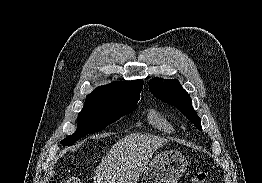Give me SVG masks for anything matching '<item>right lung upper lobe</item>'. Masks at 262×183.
I'll use <instances>...</instances> for the list:
<instances>
[{
	"instance_id": "right-lung-upper-lobe-1",
	"label": "right lung upper lobe",
	"mask_w": 262,
	"mask_h": 183,
	"mask_svg": "<svg viewBox=\"0 0 262 183\" xmlns=\"http://www.w3.org/2000/svg\"><path fill=\"white\" fill-rule=\"evenodd\" d=\"M143 88L142 80L113 82L106 86L96 88L87 95V100H98L106 102H121L140 99Z\"/></svg>"
}]
</instances>
